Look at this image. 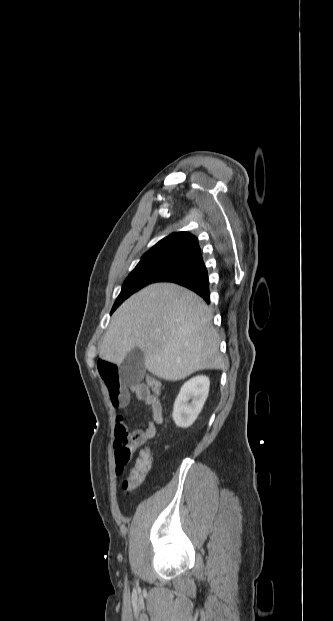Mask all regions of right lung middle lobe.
I'll return each instance as SVG.
<instances>
[{
  "mask_svg": "<svg viewBox=\"0 0 333 621\" xmlns=\"http://www.w3.org/2000/svg\"><path fill=\"white\" fill-rule=\"evenodd\" d=\"M184 261L180 258H163L139 262L124 282L111 314L130 295L148 284L159 282L164 276L178 269Z\"/></svg>",
  "mask_w": 333,
  "mask_h": 621,
  "instance_id": "obj_1",
  "label": "right lung middle lobe"
}]
</instances>
